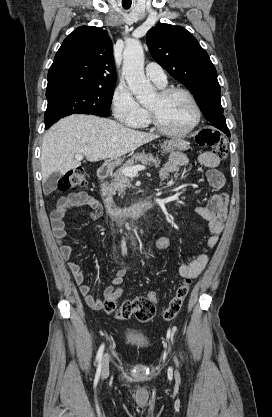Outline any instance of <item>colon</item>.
<instances>
[{"mask_svg": "<svg viewBox=\"0 0 272 417\" xmlns=\"http://www.w3.org/2000/svg\"><path fill=\"white\" fill-rule=\"evenodd\" d=\"M196 143L201 147H209L212 152L220 159L227 155V142L217 131L212 129H202L196 135ZM86 183L83 169L76 168L65 174L58 182L57 188L60 191H67L76 187H83ZM171 241L167 237H159L155 241V248L163 251L170 248ZM190 280H183L176 288L167 308L163 312L165 320H171L180 312L183 302L190 291ZM123 288L117 287L112 295L104 302V310L113 314L119 320H125L135 316L138 320L146 322L151 320L156 312L158 295L156 291H150L147 296L136 297L132 300L124 301L117 306V299L121 296Z\"/></svg>", "mask_w": 272, "mask_h": 417, "instance_id": "colon-1", "label": "colon"}]
</instances>
